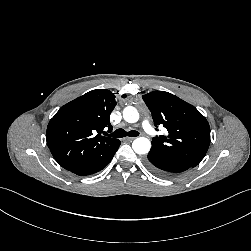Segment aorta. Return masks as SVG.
I'll return each instance as SVG.
<instances>
[{"mask_svg":"<svg viewBox=\"0 0 251 251\" xmlns=\"http://www.w3.org/2000/svg\"><path fill=\"white\" fill-rule=\"evenodd\" d=\"M123 118L128 123H135L139 120V113L135 107L128 106L123 110ZM132 148L137 154H147L150 151L151 143L145 137H138L133 141Z\"/></svg>","mask_w":251,"mask_h":251,"instance_id":"aorta-1","label":"aorta"}]
</instances>
